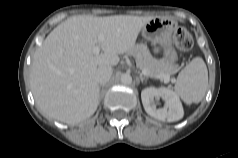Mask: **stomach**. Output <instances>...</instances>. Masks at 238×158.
<instances>
[{
    "label": "stomach",
    "instance_id": "0dacf381",
    "mask_svg": "<svg viewBox=\"0 0 238 158\" xmlns=\"http://www.w3.org/2000/svg\"><path fill=\"white\" fill-rule=\"evenodd\" d=\"M175 28V22L156 17L147 22L142 28V35L145 39L158 43L164 48L165 61L170 64L177 60V53L172 46Z\"/></svg>",
    "mask_w": 238,
    "mask_h": 158
}]
</instances>
